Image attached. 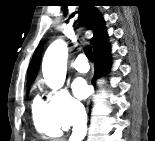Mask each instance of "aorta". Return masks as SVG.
<instances>
[{
    "mask_svg": "<svg viewBox=\"0 0 155 141\" xmlns=\"http://www.w3.org/2000/svg\"><path fill=\"white\" fill-rule=\"evenodd\" d=\"M68 48L65 41L55 40L46 50L42 72L46 84L53 90L64 85L67 70Z\"/></svg>",
    "mask_w": 155,
    "mask_h": 141,
    "instance_id": "aorta-1",
    "label": "aorta"
}]
</instances>
